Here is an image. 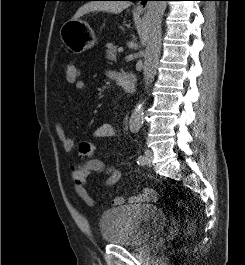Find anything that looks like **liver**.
Returning <instances> with one entry per match:
<instances>
[{
  "mask_svg": "<svg viewBox=\"0 0 245 265\" xmlns=\"http://www.w3.org/2000/svg\"><path fill=\"white\" fill-rule=\"evenodd\" d=\"M130 5V2L127 1H92L80 7L73 16L72 20L79 19L84 14L94 11L120 13Z\"/></svg>",
  "mask_w": 245,
  "mask_h": 265,
  "instance_id": "6515ba94",
  "label": "liver"
}]
</instances>
